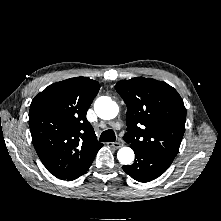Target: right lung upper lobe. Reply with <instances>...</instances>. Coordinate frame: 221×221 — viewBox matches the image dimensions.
Returning a JSON list of instances; mask_svg holds the SVG:
<instances>
[{"mask_svg": "<svg viewBox=\"0 0 221 221\" xmlns=\"http://www.w3.org/2000/svg\"><path fill=\"white\" fill-rule=\"evenodd\" d=\"M99 88L95 80L75 77L48 86L32 100L33 145L46 169L59 179L81 171L103 146L86 119Z\"/></svg>", "mask_w": 221, "mask_h": 221, "instance_id": "cb5924a9", "label": "right lung upper lobe"}]
</instances>
